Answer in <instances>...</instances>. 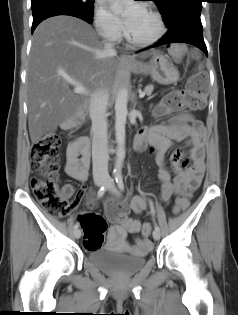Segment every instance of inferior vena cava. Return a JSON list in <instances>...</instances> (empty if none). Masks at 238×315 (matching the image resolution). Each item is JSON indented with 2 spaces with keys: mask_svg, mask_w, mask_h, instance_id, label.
Here are the masks:
<instances>
[{
  "mask_svg": "<svg viewBox=\"0 0 238 315\" xmlns=\"http://www.w3.org/2000/svg\"><path fill=\"white\" fill-rule=\"evenodd\" d=\"M105 55H116L111 43L104 45ZM108 100V89H96L90 99L89 114L92 120V163L93 178L108 179V136L106 109Z\"/></svg>",
  "mask_w": 238,
  "mask_h": 315,
  "instance_id": "1",
  "label": "inferior vena cava"
}]
</instances>
